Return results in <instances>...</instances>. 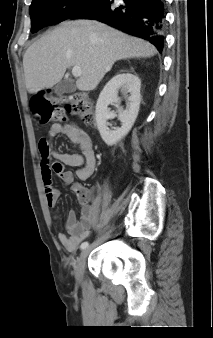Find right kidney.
Listing matches in <instances>:
<instances>
[{"mask_svg":"<svg viewBox=\"0 0 213 338\" xmlns=\"http://www.w3.org/2000/svg\"><path fill=\"white\" fill-rule=\"evenodd\" d=\"M141 81L131 73H121L114 76L101 91L96 104V123L103 141L112 146L120 141L131 130L137 118L141 95ZM119 90L124 93H130L127 98L126 109H121L118 115L122 123L120 128L111 130L108 128L107 120L113 119L115 114L111 112L108 105L119 103Z\"/></svg>","mask_w":213,"mask_h":338,"instance_id":"1","label":"right kidney"}]
</instances>
